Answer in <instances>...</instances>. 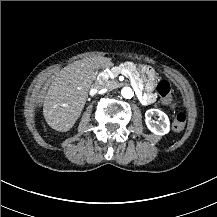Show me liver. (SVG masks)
Instances as JSON below:
<instances>
[{
	"label": "liver",
	"instance_id": "obj_1",
	"mask_svg": "<svg viewBox=\"0 0 217 217\" xmlns=\"http://www.w3.org/2000/svg\"><path fill=\"white\" fill-rule=\"evenodd\" d=\"M112 59L93 57L75 61L55 76L43 105L47 125L57 132L70 131L80 118L95 69L111 68Z\"/></svg>",
	"mask_w": 217,
	"mask_h": 217
}]
</instances>
